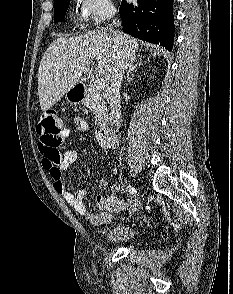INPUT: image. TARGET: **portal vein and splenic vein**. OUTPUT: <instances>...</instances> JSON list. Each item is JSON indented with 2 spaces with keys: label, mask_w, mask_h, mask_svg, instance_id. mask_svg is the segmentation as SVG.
Returning <instances> with one entry per match:
<instances>
[{
  "label": "portal vein and splenic vein",
  "mask_w": 233,
  "mask_h": 294,
  "mask_svg": "<svg viewBox=\"0 0 233 294\" xmlns=\"http://www.w3.org/2000/svg\"><path fill=\"white\" fill-rule=\"evenodd\" d=\"M94 85L98 91H102L105 89V80L103 78H97L94 82Z\"/></svg>",
  "instance_id": "1"
}]
</instances>
